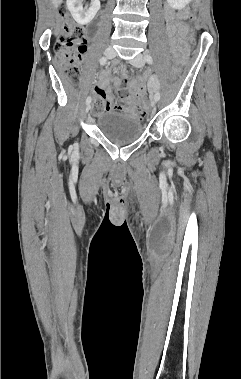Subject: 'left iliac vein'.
Masks as SVG:
<instances>
[{"instance_id":"4c4485c4","label":"left iliac vein","mask_w":241,"mask_h":379,"mask_svg":"<svg viewBox=\"0 0 241 379\" xmlns=\"http://www.w3.org/2000/svg\"><path fill=\"white\" fill-rule=\"evenodd\" d=\"M130 63L135 67L141 68L145 64L144 56L142 54H138L134 59L130 61ZM156 102L157 100L155 99V97H152L151 106L154 107Z\"/></svg>"}]
</instances>
